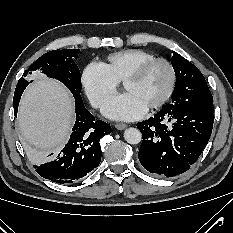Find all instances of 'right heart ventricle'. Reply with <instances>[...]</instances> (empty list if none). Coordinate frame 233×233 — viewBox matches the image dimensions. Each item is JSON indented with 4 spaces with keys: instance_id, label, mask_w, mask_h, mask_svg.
I'll use <instances>...</instances> for the list:
<instances>
[{
    "instance_id": "right-heart-ventricle-1",
    "label": "right heart ventricle",
    "mask_w": 233,
    "mask_h": 233,
    "mask_svg": "<svg viewBox=\"0 0 233 233\" xmlns=\"http://www.w3.org/2000/svg\"><path fill=\"white\" fill-rule=\"evenodd\" d=\"M155 58L151 53L142 49H126L112 53L104 64L111 76L119 83L140 64Z\"/></svg>"
}]
</instances>
